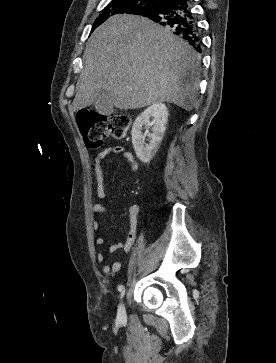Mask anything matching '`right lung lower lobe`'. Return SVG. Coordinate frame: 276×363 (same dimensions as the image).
<instances>
[{
    "mask_svg": "<svg viewBox=\"0 0 276 363\" xmlns=\"http://www.w3.org/2000/svg\"><path fill=\"white\" fill-rule=\"evenodd\" d=\"M189 4V0H160L136 15L144 16L164 26L201 52L198 26Z\"/></svg>",
    "mask_w": 276,
    "mask_h": 363,
    "instance_id": "obj_1",
    "label": "right lung lower lobe"
}]
</instances>
